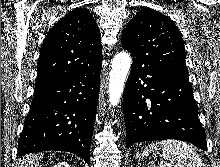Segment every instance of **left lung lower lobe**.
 <instances>
[{
    "label": "left lung lower lobe",
    "mask_w": 220,
    "mask_h": 167,
    "mask_svg": "<svg viewBox=\"0 0 220 167\" xmlns=\"http://www.w3.org/2000/svg\"><path fill=\"white\" fill-rule=\"evenodd\" d=\"M123 99L126 147L135 142L178 139L207 149L187 76L133 61Z\"/></svg>",
    "instance_id": "1"
}]
</instances>
